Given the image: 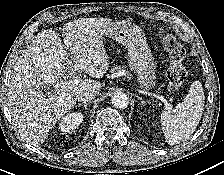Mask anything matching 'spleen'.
I'll use <instances>...</instances> for the list:
<instances>
[{
	"mask_svg": "<svg viewBox=\"0 0 224 175\" xmlns=\"http://www.w3.org/2000/svg\"><path fill=\"white\" fill-rule=\"evenodd\" d=\"M204 91L200 81H194L184 100L161 114L162 130L169 145L187 139L197 128L204 110Z\"/></svg>",
	"mask_w": 224,
	"mask_h": 175,
	"instance_id": "3e777b00",
	"label": "spleen"
}]
</instances>
